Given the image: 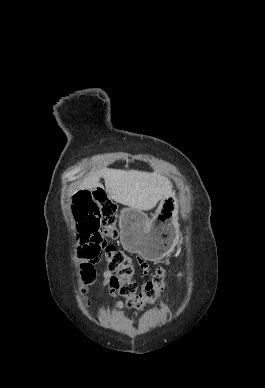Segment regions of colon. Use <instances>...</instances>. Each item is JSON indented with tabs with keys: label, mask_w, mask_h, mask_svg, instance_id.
<instances>
[{
	"label": "colon",
	"mask_w": 265,
	"mask_h": 388,
	"mask_svg": "<svg viewBox=\"0 0 265 388\" xmlns=\"http://www.w3.org/2000/svg\"><path fill=\"white\" fill-rule=\"evenodd\" d=\"M72 209L78 223V256L83 259L81 274L85 286L95 277L94 265L103 259L112 273L115 290L129 307L142 308L154 303L165 288V271L157 269L138 290L132 260L112 244L117 236L116 206L106 192L102 188L81 191L74 197Z\"/></svg>",
	"instance_id": "colon-1"
}]
</instances>
